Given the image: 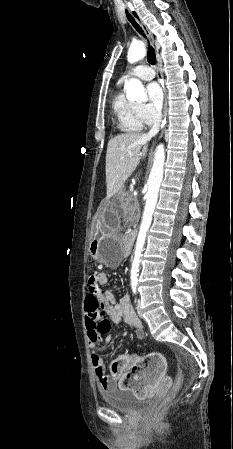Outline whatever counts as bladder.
<instances>
[{"label": "bladder", "instance_id": "obj_1", "mask_svg": "<svg viewBox=\"0 0 233 449\" xmlns=\"http://www.w3.org/2000/svg\"><path fill=\"white\" fill-rule=\"evenodd\" d=\"M104 402L111 408L126 412L135 413L152 406V400L137 399L130 389H108L102 391Z\"/></svg>", "mask_w": 233, "mask_h": 449}]
</instances>
